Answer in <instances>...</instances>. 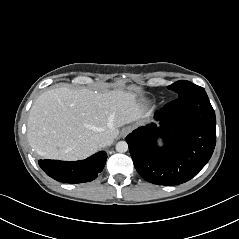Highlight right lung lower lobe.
I'll return each instance as SVG.
<instances>
[{"label": "right lung lower lobe", "mask_w": 239, "mask_h": 239, "mask_svg": "<svg viewBox=\"0 0 239 239\" xmlns=\"http://www.w3.org/2000/svg\"><path fill=\"white\" fill-rule=\"evenodd\" d=\"M107 154L98 152L91 157L76 161L66 162L59 160H39V166L53 179L65 183H84L94 180L106 163Z\"/></svg>", "instance_id": "right-lung-lower-lobe-1"}]
</instances>
